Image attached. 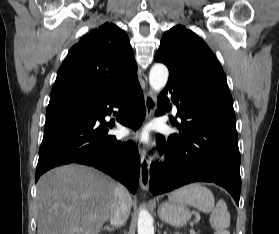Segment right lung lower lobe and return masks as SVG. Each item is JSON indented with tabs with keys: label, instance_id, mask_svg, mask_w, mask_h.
<instances>
[{
	"label": "right lung lower lobe",
	"instance_id": "98d812e1",
	"mask_svg": "<svg viewBox=\"0 0 279 234\" xmlns=\"http://www.w3.org/2000/svg\"><path fill=\"white\" fill-rule=\"evenodd\" d=\"M110 106V107H108ZM120 108L117 120L136 130L146 114L138 80L112 98L82 112L47 119L39 150L36 178L47 170L69 163L93 166L119 180L135 193L139 184L140 157L133 141L107 135L105 116Z\"/></svg>",
	"mask_w": 279,
	"mask_h": 234
}]
</instances>
